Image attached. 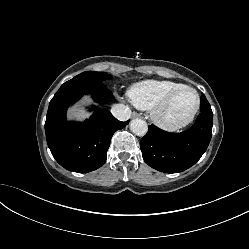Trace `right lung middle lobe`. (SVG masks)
I'll return each instance as SVG.
<instances>
[{"label":"right lung middle lobe","instance_id":"1","mask_svg":"<svg viewBox=\"0 0 249 249\" xmlns=\"http://www.w3.org/2000/svg\"><path fill=\"white\" fill-rule=\"evenodd\" d=\"M111 78H112L111 75L105 72L86 71L77 75L73 79H88L91 82L98 84V83H103L105 80H109Z\"/></svg>","mask_w":249,"mask_h":249}]
</instances>
